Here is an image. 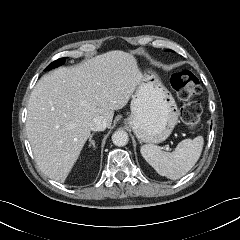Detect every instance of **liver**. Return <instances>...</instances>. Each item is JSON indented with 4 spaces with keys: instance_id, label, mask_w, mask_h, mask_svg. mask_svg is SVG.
<instances>
[{
    "instance_id": "6515ba94",
    "label": "liver",
    "mask_w": 240,
    "mask_h": 240,
    "mask_svg": "<svg viewBox=\"0 0 240 240\" xmlns=\"http://www.w3.org/2000/svg\"><path fill=\"white\" fill-rule=\"evenodd\" d=\"M142 80L135 57L115 50L44 75L28 102L26 132L40 170L63 183L90 137L91 120L111 126Z\"/></svg>"
}]
</instances>
